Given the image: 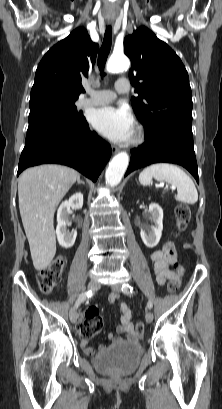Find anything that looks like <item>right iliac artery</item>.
I'll use <instances>...</instances> for the list:
<instances>
[{
  "label": "right iliac artery",
  "mask_w": 222,
  "mask_h": 409,
  "mask_svg": "<svg viewBox=\"0 0 222 409\" xmlns=\"http://www.w3.org/2000/svg\"><path fill=\"white\" fill-rule=\"evenodd\" d=\"M92 295V291H87L79 294L78 299L75 302V308H78L83 301H85L87 298H91Z\"/></svg>",
  "instance_id": "1"
}]
</instances>
